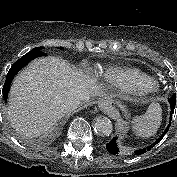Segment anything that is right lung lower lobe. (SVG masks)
Instances as JSON below:
<instances>
[{"label": "right lung lower lobe", "instance_id": "right-lung-lower-lobe-1", "mask_svg": "<svg viewBox=\"0 0 177 177\" xmlns=\"http://www.w3.org/2000/svg\"><path fill=\"white\" fill-rule=\"evenodd\" d=\"M40 56H46V54L42 51L32 50L28 52L26 55L22 56L12 65V67L10 68L6 76V80L3 86V98L5 101L7 100L8 91H9L10 84H11L13 77L17 74V72L20 69L26 66L32 59L40 57Z\"/></svg>", "mask_w": 177, "mask_h": 177}]
</instances>
